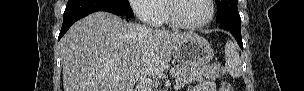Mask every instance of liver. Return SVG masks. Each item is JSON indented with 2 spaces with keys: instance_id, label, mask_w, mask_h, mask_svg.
Segmentation results:
<instances>
[{
  "instance_id": "liver-1",
  "label": "liver",
  "mask_w": 304,
  "mask_h": 91,
  "mask_svg": "<svg viewBox=\"0 0 304 91\" xmlns=\"http://www.w3.org/2000/svg\"><path fill=\"white\" fill-rule=\"evenodd\" d=\"M196 36L92 13L60 41L64 91H133L138 80L167 70L175 46Z\"/></svg>"
}]
</instances>
